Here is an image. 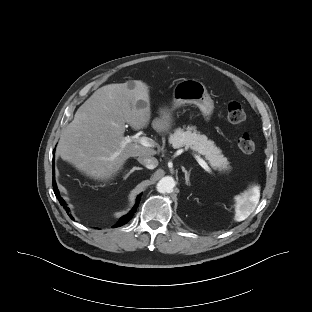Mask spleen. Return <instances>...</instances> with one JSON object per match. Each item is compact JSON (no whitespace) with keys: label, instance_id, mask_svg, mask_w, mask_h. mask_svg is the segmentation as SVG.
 I'll list each match as a JSON object with an SVG mask.
<instances>
[{"label":"spleen","instance_id":"spleen-1","mask_svg":"<svg viewBox=\"0 0 312 312\" xmlns=\"http://www.w3.org/2000/svg\"><path fill=\"white\" fill-rule=\"evenodd\" d=\"M259 198V187L249 190L236 205L235 221L245 220L255 210Z\"/></svg>","mask_w":312,"mask_h":312}]
</instances>
